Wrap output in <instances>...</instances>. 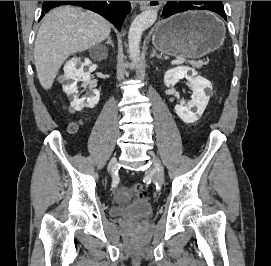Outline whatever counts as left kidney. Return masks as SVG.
Returning <instances> with one entry per match:
<instances>
[{
  "label": "left kidney",
  "instance_id": "left-kidney-1",
  "mask_svg": "<svg viewBox=\"0 0 271 266\" xmlns=\"http://www.w3.org/2000/svg\"><path fill=\"white\" fill-rule=\"evenodd\" d=\"M189 72H191L190 75ZM183 78L190 83L193 94L187 104L185 102L177 104L175 112L185 123H193L202 116L206 109L210 95L206 94L205 90H212V84L207 79L198 76L194 69L188 67H176L166 71L164 84L174 86Z\"/></svg>",
  "mask_w": 271,
  "mask_h": 266
}]
</instances>
